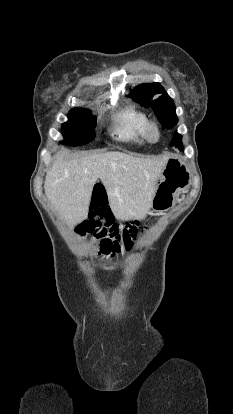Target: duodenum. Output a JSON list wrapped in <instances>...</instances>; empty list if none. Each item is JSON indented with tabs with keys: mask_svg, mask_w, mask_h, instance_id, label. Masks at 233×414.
<instances>
[{
	"mask_svg": "<svg viewBox=\"0 0 233 414\" xmlns=\"http://www.w3.org/2000/svg\"><path fill=\"white\" fill-rule=\"evenodd\" d=\"M94 189V203L90 205V210L92 212H108L110 206L107 201V196L104 194L103 180H98V182L93 186Z\"/></svg>",
	"mask_w": 233,
	"mask_h": 414,
	"instance_id": "duodenum-1",
	"label": "duodenum"
}]
</instances>
